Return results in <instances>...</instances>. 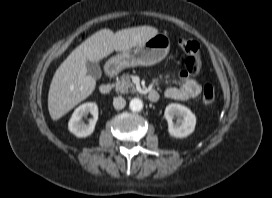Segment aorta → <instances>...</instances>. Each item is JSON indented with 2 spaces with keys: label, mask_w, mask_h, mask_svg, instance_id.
<instances>
[{
  "label": "aorta",
  "mask_w": 272,
  "mask_h": 198,
  "mask_svg": "<svg viewBox=\"0 0 272 198\" xmlns=\"http://www.w3.org/2000/svg\"><path fill=\"white\" fill-rule=\"evenodd\" d=\"M129 108L133 112H139V111H141L143 109V102H142V100L139 99V98H133L130 101Z\"/></svg>",
  "instance_id": "762f6f07"
}]
</instances>
